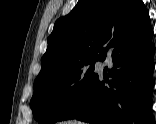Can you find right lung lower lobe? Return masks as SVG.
<instances>
[{"label":"right lung lower lobe","mask_w":156,"mask_h":124,"mask_svg":"<svg viewBox=\"0 0 156 124\" xmlns=\"http://www.w3.org/2000/svg\"><path fill=\"white\" fill-rule=\"evenodd\" d=\"M152 35L153 30L148 26L119 38L109 48L113 68H106L104 76L97 75L59 121L77 119L92 124H155L151 113L155 51ZM107 51L101 61L105 60ZM108 76L112 80H108Z\"/></svg>","instance_id":"1"}]
</instances>
